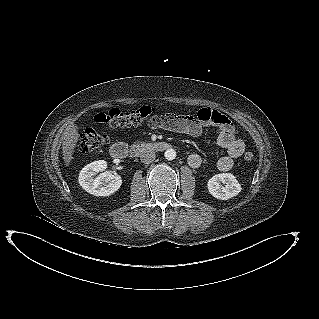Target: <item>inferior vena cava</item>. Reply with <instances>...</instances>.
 I'll return each instance as SVG.
<instances>
[{
  "label": "inferior vena cava",
  "instance_id": "inferior-vena-cava-1",
  "mask_svg": "<svg viewBox=\"0 0 319 319\" xmlns=\"http://www.w3.org/2000/svg\"><path fill=\"white\" fill-rule=\"evenodd\" d=\"M156 158V154L153 151H145L140 155V160L144 164L152 163Z\"/></svg>",
  "mask_w": 319,
  "mask_h": 319
}]
</instances>
